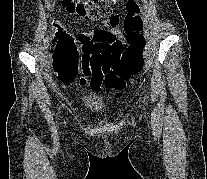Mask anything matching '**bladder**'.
Here are the masks:
<instances>
[{"label": "bladder", "mask_w": 207, "mask_h": 179, "mask_svg": "<svg viewBox=\"0 0 207 179\" xmlns=\"http://www.w3.org/2000/svg\"><path fill=\"white\" fill-rule=\"evenodd\" d=\"M82 104L85 108L90 110H101L103 107L100 96L96 94H86L81 97Z\"/></svg>", "instance_id": "31cf9c89"}]
</instances>
